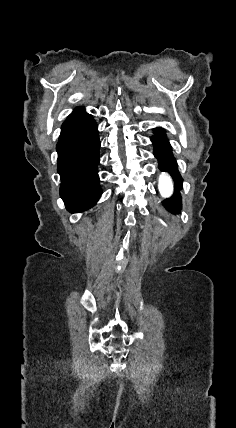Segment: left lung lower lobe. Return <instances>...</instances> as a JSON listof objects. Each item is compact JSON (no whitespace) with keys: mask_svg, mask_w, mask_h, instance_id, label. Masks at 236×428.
Returning a JSON list of instances; mask_svg holds the SVG:
<instances>
[{"mask_svg":"<svg viewBox=\"0 0 236 428\" xmlns=\"http://www.w3.org/2000/svg\"><path fill=\"white\" fill-rule=\"evenodd\" d=\"M155 135L151 138L154 144V155L159 161V169L168 172L175 182V193L170 199L164 200L163 205L168 211L178 213L182 208V197L179 190L182 189V177L177 170V163L173 157L171 146L166 138L165 131L156 128Z\"/></svg>","mask_w":236,"mask_h":428,"instance_id":"obj_1","label":"left lung lower lobe"}]
</instances>
